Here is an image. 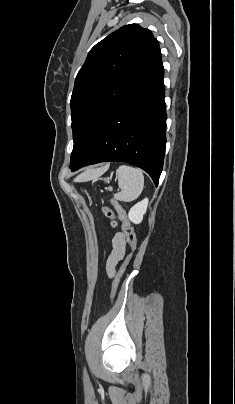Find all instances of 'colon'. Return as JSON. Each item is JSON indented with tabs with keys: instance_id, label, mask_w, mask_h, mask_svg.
Here are the masks:
<instances>
[{
	"instance_id": "obj_1",
	"label": "colon",
	"mask_w": 235,
	"mask_h": 404,
	"mask_svg": "<svg viewBox=\"0 0 235 404\" xmlns=\"http://www.w3.org/2000/svg\"><path fill=\"white\" fill-rule=\"evenodd\" d=\"M111 203H112V206L117 211V213L119 214V217L122 222V224H121L122 231L125 235L126 242L129 244L130 249H131V252L128 255L126 261L122 264L120 269L114 275V278L112 281V286H111V293H110V297L113 298V296L116 292L117 286L119 284V281H120L122 275L124 274L130 259L132 258L133 252L135 251V249L137 247V238H136V233L134 231V228L131 226V224L125 217V211H124L123 207L119 204V202L117 200H112ZM102 210H103L104 215L110 220L111 226L115 227L116 221H115L114 211L110 207H107V206H104Z\"/></svg>"
}]
</instances>
